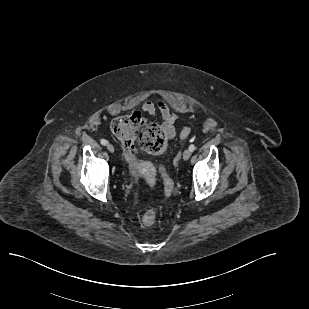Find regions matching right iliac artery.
<instances>
[{
	"label": "right iliac artery",
	"instance_id": "1",
	"mask_svg": "<svg viewBox=\"0 0 309 309\" xmlns=\"http://www.w3.org/2000/svg\"><path fill=\"white\" fill-rule=\"evenodd\" d=\"M100 143H101L102 145H107L108 142H107L105 139H101V140H100Z\"/></svg>",
	"mask_w": 309,
	"mask_h": 309
}]
</instances>
